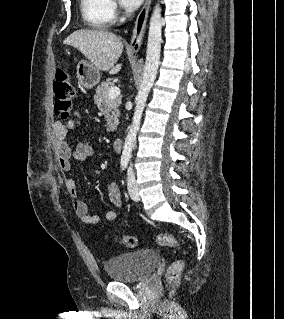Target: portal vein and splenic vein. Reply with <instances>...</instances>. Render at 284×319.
<instances>
[{
	"instance_id": "1",
	"label": "portal vein and splenic vein",
	"mask_w": 284,
	"mask_h": 319,
	"mask_svg": "<svg viewBox=\"0 0 284 319\" xmlns=\"http://www.w3.org/2000/svg\"><path fill=\"white\" fill-rule=\"evenodd\" d=\"M119 95H120V89L118 87L112 86L109 89V92H108L109 99H114V98L118 97Z\"/></svg>"
}]
</instances>
